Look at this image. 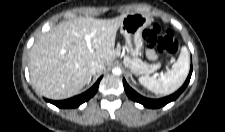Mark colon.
Listing matches in <instances>:
<instances>
[{"label":"colon","instance_id":"1","mask_svg":"<svg viewBox=\"0 0 225 132\" xmlns=\"http://www.w3.org/2000/svg\"><path fill=\"white\" fill-rule=\"evenodd\" d=\"M143 37L147 42V47H156L165 55H172L178 50V40L173 31L169 29L162 31L156 23L150 24L144 29Z\"/></svg>","mask_w":225,"mask_h":132}]
</instances>
